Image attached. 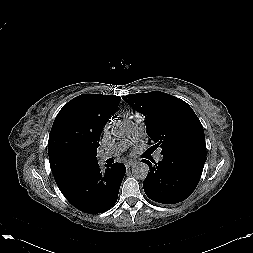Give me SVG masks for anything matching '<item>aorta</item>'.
Here are the masks:
<instances>
[{
    "label": "aorta",
    "mask_w": 253,
    "mask_h": 253,
    "mask_svg": "<svg viewBox=\"0 0 253 253\" xmlns=\"http://www.w3.org/2000/svg\"><path fill=\"white\" fill-rule=\"evenodd\" d=\"M106 134L120 137L125 132V124L121 121H111L105 125ZM149 174V166L144 162H137L132 166V175L136 179L145 180Z\"/></svg>",
    "instance_id": "aorta-1"
}]
</instances>
